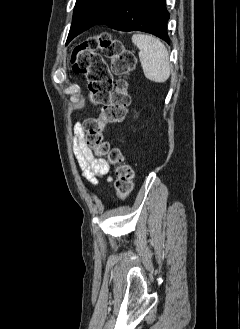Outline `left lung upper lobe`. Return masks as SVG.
<instances>
[{
	"instance_id": "obj_1",
	"label": "left lung upper lobe",
	"mask_w": 240,
	"mask_h": 329,
	"mask_svg": "<svg viewBox=\"0 0 240 329\" xmlns=\"http://www.w3.org/2000/svg\"><path fill=\"white\" fill-rule=\"evenodd\" d=\"M120 0H77L66 44L100 21Z\"/></svg>"
}]
</instances>
